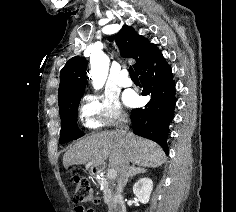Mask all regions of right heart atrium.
<instances>
[{
    "instance_id": "obj_1",
    "label": "right heart atrium",
    "mask_w": 236,
    "mask_h": 212,
    "mask_svg": "<svg viewBox=\"0 0 236 212\" xmlns=\"http://www.w3.org/2000/svg\"><path fill=\"white\" fill-rule=\"evenodd\" d=\"M79 116L82 124L90 129L112 127L126 120L119 100L112 95L85 96L79 107Z\"/></svg>"
}]
</instances>
